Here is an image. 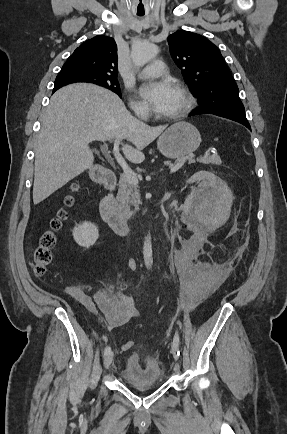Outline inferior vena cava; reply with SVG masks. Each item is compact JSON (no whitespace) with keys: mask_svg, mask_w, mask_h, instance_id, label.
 <instances>
[{"mask_svg":"<svg viewBox=\"0 0 287 434\" xmlns=\"http://www.w3.org/2000/svg\"><path fill=\"white\" fill-rule=\"evenodd\" d=\"M139 113H140L142 118H145V119L147 118V114L145 111H140Z\"/></svg>","mask_w":287,"mask_h":434,"instance_id":"602c4592","label":"inferior vena cava"}]
</instances>
